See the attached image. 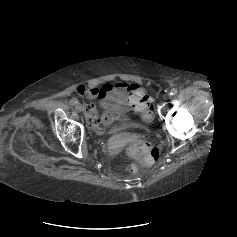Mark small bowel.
Returning <instances> with one entry per match:
<instances>
[{
	"label": "small bowel",
	"instance_id": "c3829d8e",
	"mask_svg": "<svg viewBox=\"0 0 237 237\" xmlns=\"http://www.w3.org/2000/svg\"><path fill=\"white\" fill-rule=\"evenodd\" d=\"M76 92L99 101L103 109L100 118L93 104L89 103L85 107L87 123L97 134H103L115 125L128 123L132 114L145 116L148 112L150 99L144 89L136 83L119 82L89 88L78 86Z\"/></svg>",
	"mask_w": 237,
	"mask_h": 237
}]
</instances>
